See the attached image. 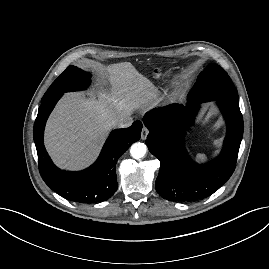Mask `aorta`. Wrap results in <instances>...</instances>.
I'll return each mask as SVG.
<instances>
[{
	"label": "aorta",
	"instance_id": "obj_1",
	"mask_svg": "<svg viewBox=\"0 0 269 269\" xmlns=\"http://www.w3.org/2000/svg\"><path fill=\"white\" fill-rule=\"evenodd\" d=\"M147 152V146L144 143L136 142L130 148V154L134 159L144 157Z\"/></svg>",
	"mask_w": 269,
	"mask_h": 269
}]
</instances>
